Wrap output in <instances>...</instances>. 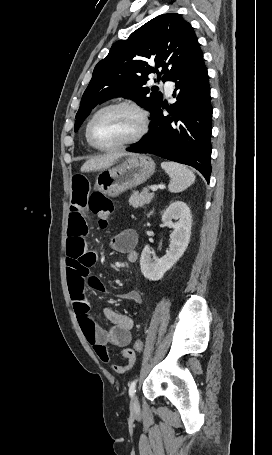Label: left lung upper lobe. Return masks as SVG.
I'll return each instance as SVG.
<instances>
[{
    "label": "left lung upper lobe",
    "instance_id": "obj_1",
    "mask_svg": "<svg viewBox=\"0 0 272 455\" xmlns=\"http://www.w3.org/2000/svg\"><path fill=\"white\" fill-rule=\"evenodd\" d=\"M200 56L202 51L193 28L179 14L153 18L127 40L114 43L107 57L95 66L74 130L79 129L91 109L114 97H131L152 113L162 103L163 95L155 86L144 87L148 75L157 73L158 80L167 81Z\"/></svg>",
    "mask_w": 272,
    "mask_h": 455
}]
</instances>
